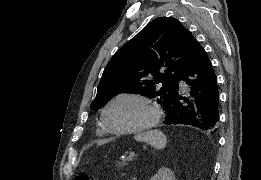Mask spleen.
<instances>
[{"label":"spleen","instance_id":"1","mask_svg":"<svg viewBox=\"0 0 261 180\" xmlns=\"http://www.w3.org/2000/svg\"><path fill=\"white\" fill-rule=\"evenodd\" d=\"M135 140H138V142H148V144H152L157 150H163L167 142L166 136L162 132H159V130L140 132V134H136Z\"/></svg>","mask_w":261,"mask_h":180}]
</instances>
